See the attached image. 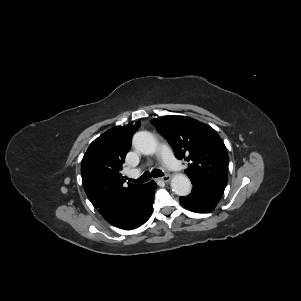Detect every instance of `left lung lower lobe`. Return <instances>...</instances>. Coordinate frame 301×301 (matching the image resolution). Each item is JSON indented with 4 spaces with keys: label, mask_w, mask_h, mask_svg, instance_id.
Returning a JSON list of instances; mask_svg holds the SVG:
<instances>
[{
    "label": "left lung lower lobe",
    "mask_w": 301,
    "mask_h": 301,
    "mask_svg": "<svg viewBox=\"0 0 301 301\" xmlns=\"http://www.w3.org/2000/svg\"><path fill=\"white\" fill-rule=\"evenodd\" d=\"M192 193L180 197V203L187 209L196 213H207L212 211L220 201L224 191L205 185L199 181H191Z\"/></svg>",
    "instance_id": "0a47b994"
}]
</instances>
